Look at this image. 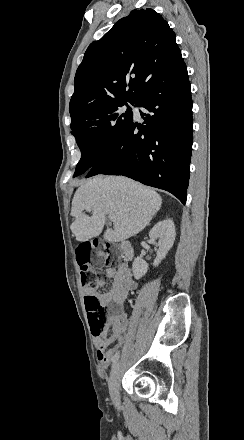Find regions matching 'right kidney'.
Masks as SVG:
<instances>
[{
    "mask_svg": "<svg viewBox=\"0 0 244 440\" xmlns=\"http://www.w3.org/2000/svg\"><path fill=\"white\" fill-rule=\"evenodd\" d=\"M149 238H151V240H159V242H157L159 250L153 262V266H159L161 260H164V258H166L176 238L173 220H170V218H166V220L158 222V224H156V226L152 228L151 232H149ZM132 270L135 280H140V278H142V276L146 274L148 270V264H146L142 256H139V258H135Z\"/></svg>",
    "mask_w": 244,
    "mask_h": 440,
    "instance_id": "right-kidney-1",
    "label": "right kidney"
}]
</instances>
